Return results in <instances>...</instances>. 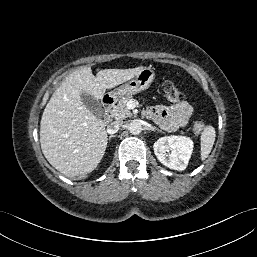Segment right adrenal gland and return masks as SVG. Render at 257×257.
Here are the masks:
<instances>
[{"label":"right adrenal gland","mask_w":257,"mask_h":257,"mask_svg":"<svg viewBox=\"0 0 257 257\" xmlns=\"http://www.w3.org/2000/svg\"><path fill=\"white\" fill-rule=\"evenodd\" d=\"M112 137H115L114 135L109 136V140H111Z\"/></svg>","instance_id":"2a0ac1e0"}]
</instances>
